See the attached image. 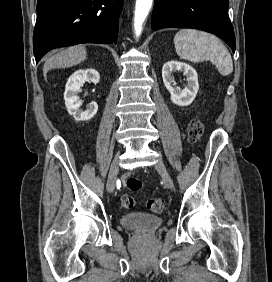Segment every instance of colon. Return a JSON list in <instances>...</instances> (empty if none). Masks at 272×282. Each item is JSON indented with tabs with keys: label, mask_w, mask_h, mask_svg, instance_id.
<instances>
[{
	"label": "colon",
	"mask_w": 272,
	"mask_h": 282,
	"mask_svg": "<svg viewBox=\"0 0 272 282\" xmlns=\"http://www.w3.org/2000/svg\"><path fill=\"white\" fill-rule=\"evenodd\" d=\"M204 126L200 121H193L188 129V137L192 143L200 140L203 134ZM127 187L132 191H137L141 188V181L136 177H129L126 181ZM121 204L123 208H132L135 205V199L130 195H123L121 197ZM147 207L150 212L159 214L164 210L165 202L161 198H151L147 202Z\"/></svg>",
	"instance_id": "obj_1"
}]
</instances>
